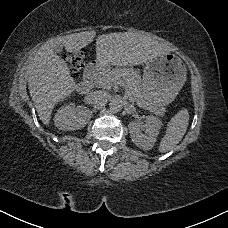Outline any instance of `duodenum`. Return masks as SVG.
I'll list each match as a JSON object with an SVG mask.
<instances>
[{"label":"duodenum","mask_w":228,"mask_h":228,"mask_svg":"<svg viewBox=\"0 0 228 228\" xmlns=\"http://www.w3.org/2000/svg\"><path fill=\"white\" fill-rule=\"evenodd\" d=\"M99 65L97 63H90L88 68L86 69L84 78L87 83H94L97 78V74L99 73Z\"/></svg>","instance_id":"obj_1"}]
</instances>
